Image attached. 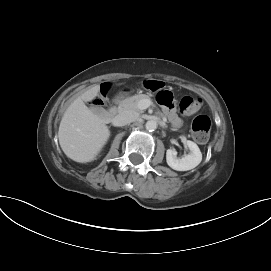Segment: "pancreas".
<instances>
[{
	"label": "pancreas",
	"instance_id": "pancreas-1",
	"mask_svg": "<svg viewBox=\"0 0 271 271\" xmlns=\"http://www.w3.org/2000/svg\"><path fill=\"white\" fill-rule=\"evenodd\" d=\"M142 100H150V97L145 94H138L131 97H128L121 101L118 106V111H134V112H142V109L139 108V102Z\"/></svg>",
	"mask_w": 271,
	"mask_h": 271
}]
</instances>
